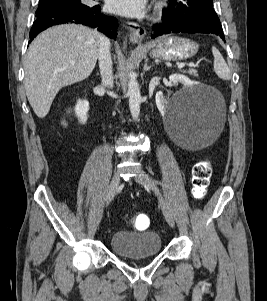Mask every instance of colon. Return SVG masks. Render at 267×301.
Returning <instances> with one entry per match:
<instances>
[{"instance_id": "colon-1", "label": "colon", "mask_w": 267, "mask_h": 301, "mask_svg": "<svg viewBox=\"0 0 267 301\" xmlns=\"http://www.w3.org/2000/svg\"><path fill=\"white\" fill-rule=\"evenodd\" d=\"M212 175V165L209 161L197 163L193 169V195L201 200L205 197ZM149 218L146 214L137 213L132 218L133 226L138 230H144L149 226Z\"/></svg>"}]
</instances>
